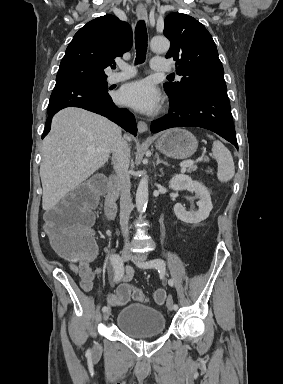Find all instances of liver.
Wrapping results in <instances>:
<instances>
[{
    "mask_svg": "<svg viewBox=\"0 0 283 384\" xmlns=\"http://www.w3.org/2000/svg\"><path fill=\"white\" fill-rule=\"evenodd\" d=\"M119 138L121 128L103 116L81 108L58 112L42 146L43 210L55 208L68 192L102 168Z\"/></svg>",
    "mask_w": 283,
    "mask_h": 384,
    "instance_id": "liver-1",
    "label": "liver"
}]
</instances>
